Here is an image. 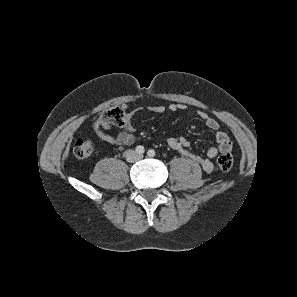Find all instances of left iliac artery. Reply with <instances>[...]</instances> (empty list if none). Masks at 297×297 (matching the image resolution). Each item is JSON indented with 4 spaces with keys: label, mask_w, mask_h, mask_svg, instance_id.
Listing matches in <instances>:
<instances>
[{
    "label": "left iliac artery",
    "mask_w": 297,
    "mask_h": 297,
    "mask_svg": "<svg viewBox=\"0 0 297 297\" xmlns=\"http://www.w3.org/2000/svg\"><path fill=\"white\" fill-rule=\"evenodd\" d=\"M155 154H156V152H155L154 150H152V149L148 150V152H147V155H148L149 157H154Z\"/></svg>",
    "instance_id": "obj_1"
}]
</instances>
